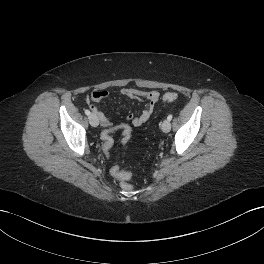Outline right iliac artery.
Here are the masks:
<instances>
[{"mask_svg": "<svg viewBox=\"0 0 264 264\" xmlns=\"http://www.w3.org/2000/svg\"><path fill=\"white\" fill-rule=\"evenodd\" d=\"M85 114L89 116L91 113H90V111L88 109H86L85 110Z\"/></svg>", "mask_w": 264, "mask_h": 264, "instance_id": "1", "label": "right iliac artery"}]
</instances>
